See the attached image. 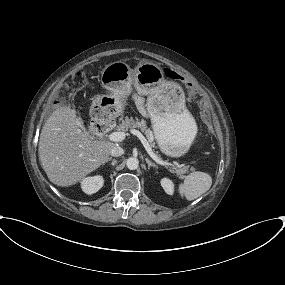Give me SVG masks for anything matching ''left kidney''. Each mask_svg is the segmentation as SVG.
<instances>
[{
  "mask_svg": "<svg viewBox=\"0 0 285 285\" xmlns=\"http://www.w3.org/2000/svg\"><path fill=\"white\" fill-rule=\"evenodd\" d=\"M161 186L165 190V192L169 195H172L174 192V184L173 182L168 178L161 179Z\"/></svg>",
  "mask_w": 285,
  "mask_h": 285,
  "instance_id": "obj_1",
  "label": "left kidney"
}]
</instances>
